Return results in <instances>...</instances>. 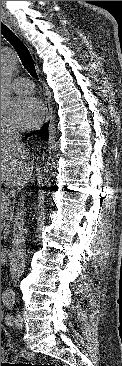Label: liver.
<instances>
[{
  "instance_id": "6515ba94",
  "label": "liver",
  "mask_w": 122,
  "mask_h": 366,
  "mask_svg": "<svg viewBox=\"0 0 122 366\" xmlns=\"http://www.w3.org/2000/svg\"><path fill=\"white\" fill-rule=\"evenodd\" d=\"M34 163L27 151L26 157L17 148L8 145L1 133V184L9 187L25 186L32 178Z\"/></svg>"
}]
</instances>
